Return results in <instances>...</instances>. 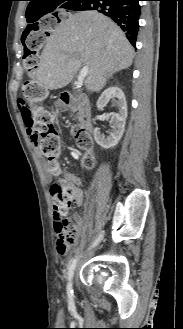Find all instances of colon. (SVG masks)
<instances>
[{
	"instance_id": "1",
	"label": "colon",
	"mask_w": 183,
	"mask_h": 329,
	"mask_svg": "<svg viewBox=\"0 0 183 329\" xmlns=\"http://www.w3.org/2000/svg\"><path fill=\"white\" fill-rule=\"evenodd\" d=\"M58 21H69V14H43V19H35V25H26V31H20L23 65L32 79L24 85L25 96L19 98L20 103H23L19 112L29 114V127L32 138L43 156V166L49 174L57 177L51 185L54 218L61 222L67 241L74 243L76 230L73 223L66 218L69 209L75 204L74 185L60 177L58 167L60 139L54 126V117L44 107L35 104L29 107L28 104L29 101L38 99L41 94L40 86L33 79L39 65L38 53L43 48L45 40L50 38V32H55ZM76 139L82 147H89L91 144L89 135L81 130L77 131ZM82 164L85 168L93 166V157L90 153L83 157Z\"/></svg>"
}]
</instances>
